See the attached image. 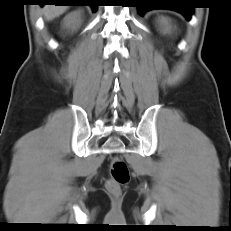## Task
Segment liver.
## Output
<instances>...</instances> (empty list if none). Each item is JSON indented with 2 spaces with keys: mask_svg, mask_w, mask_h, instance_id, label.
<instances>
[{
  "mask_svg": "<svg viewBox=\"0 0 231 231\" xmlns=\"http://www.w3.org/2000/svg\"><path fill=\"white\" fill-rule=\"evenodd\" d=\"M67 9L68 6L45 5L42 9V13L46 19L50 21L65 13Z\"/></svg>",
  "mask_w": 231,
  "mask_h": 231,
  "instance_id": "liver-1",
  "label": "liver"
}]
</instances>
